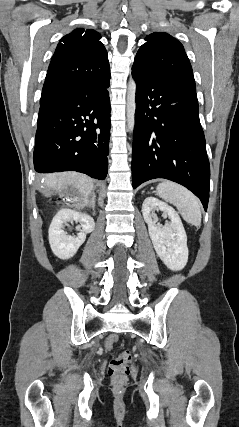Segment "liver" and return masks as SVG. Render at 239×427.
<instances>
[{"instance_id": "obj_1", "label": "liver", "mask_w": 239, "mask_h": 427, "mask_svg": "<svg viewBox=\"0 0 239 427\" xmlns=\"http://www.w3.org/2000/svg\"><path fill=\"white\" fill-rule=\"evenodd\" d=\"M43 180V190L46 195L53 192L64 194L69 187H72L76 190V195L72 200L78 207L93 203L89 197L94 189V180L85 174L77 172L53 173L46 174Z\"/></svg>"}]
</instances>
